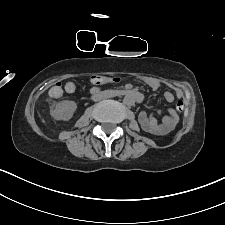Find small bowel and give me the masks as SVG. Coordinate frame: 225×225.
<instances>
[{"mask_svg":"<svg viewBox=\"0 0 225 225\" xmlns=\"http://www.w3.org/2000/svg\"><path fill=\"white\" fill-rule=\"evenodd\" d=\"M148 85L152 90L160 88V83L157 81H150ZM175 94L177 97L182 96L181 90H176ZM164 97L168 102H172L175 98L174 94L170 91H165ZM159 116H161V121H158ZM138 119L145 131L155 135H165L171 132L179 123V117L173 109H169L166 112L158 111L155 113L142 111Z\"/></svg>","mask_w":225,"mask_h":225,"instance_id":"small-bowel-1","label":"small bowel"}]
</instances>
